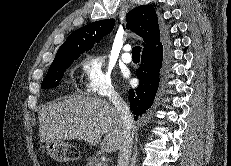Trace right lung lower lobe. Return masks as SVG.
<instances>
[{"label":"right lung lower lobe","instance_id":"98d812e1","mask_svg":"<svg viewBox=\"0 0 231 166\" xmlns=\"http://www.w3.org/2000/svg\"><path fill=\"white\" fill-rule=\"evenodd\" d=\"M163 57V46L158 45L149 53L142 54V63L136 74L139 86L129 90L130 109L136 116H141L151 107L159 84V71Z\"/></svg>","mask_w":231,"mask_h":166}]
</instances>
